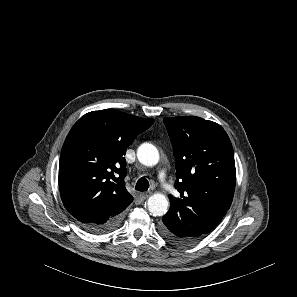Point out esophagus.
<instances>
[{
	"label": "esophagus",
	"instance_id": "34e87169",
	"mask_svg": "<svg viewBox=\"0 0 297 297\" xmlns=\"http://www.w3.org/2000/svg\"><path fill=\"white\" fill-rule=\"evenodd\" d=\"M152 192L147 191V192H143L140 193L139 197L141 200H146L149 196H151Z\"/></svg>",
	"mask_w": 297,
	"mask_h": 297
}]
</instances>
